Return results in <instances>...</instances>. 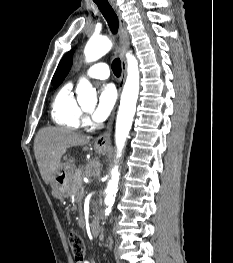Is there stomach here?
<instances>
[{
  "label": "stomach",
  "instance_id": "obj_1",
  "mask_svg": "<svg viewBox=\"0 0 233 263\" xmlns=\"http://www.w3.org/2000/svg\"><path fill=\"white\" fill-rule=\"evenodd\" d=\"M107 148L95 146L98 154H105ZM74 171L73 164L70 161L61 163L59 170L53 175L51 187L53 193L58 197H67L71 192V175Z\"/></svg>",
  "mask_w": 233,
  "mask_h": 263
}]
</instances>
